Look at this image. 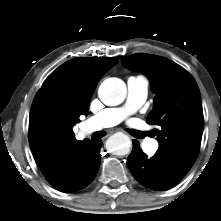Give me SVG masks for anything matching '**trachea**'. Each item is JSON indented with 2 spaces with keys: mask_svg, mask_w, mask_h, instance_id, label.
I'll return each mask as SVG.
<instances>
[{
  "mask_svg": "<svg viewBox=\"0 0 221 221\" xmlns=\"http://www.w3.org/2000/svg\"><path fill=\"white\" fill-rule=\"evenodd\" d=\"M106 135V133L105 132H100V131H98V132H95L93 135H92V139L93 140H97V139H100V138H102V137H104ZM144 136V134L143 133H141V132H138V134H137V138H142Z\"/></svg>",
  "mask_w": 221,
  "mask_h": 221,
  "instance_id": "1",
  "label": "trachea"
}]
</instances>
